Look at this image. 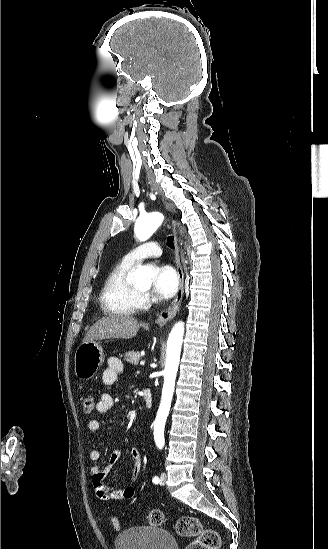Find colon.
<instances>
[{"label":"colon","mask_w":328,"mask_h":549,"mask_svg":"<svg viewBox=\"0 0 328 549\" xmlns=\"http://www.w3.org/2000/svg\"><path fill=\"white\" fill-rule=\"evenodd\" d=\"M83 410L91 413L95 408V398L92 394L86 393L82 398ZM111 525L115 530H120L121 524L118 518H111ZM146 521L152 526H160L164 522V515L161 510L153 509L146 514ZM176 533L191 541L185 549H218L220 547V536L217 531L204 527L199 519L192 516H182L174 524Z\"/></svg>","instance_id":"colon-1"}]
</instances>
